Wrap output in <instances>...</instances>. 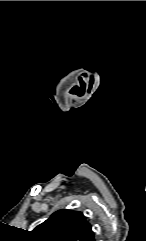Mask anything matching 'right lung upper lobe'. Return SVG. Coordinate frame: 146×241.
Listing matches in <instances>:
<instances>
[{
    "instance_id": "1",
    "label": "right lung upper lobe",
    "mask_w": 146,
    "mask_h": 241,
    "mask_svg": "<svg viewBox=\"0 0 146 241\" xmlns=\"http://www.w3.org/2000/svg\"><path fill=\"white\" fill-rule=\"evenodd\" d=\"M33 241H95L91 224L82 212L58 210L30 232Z\"/></svg>"
}]
</instances>
